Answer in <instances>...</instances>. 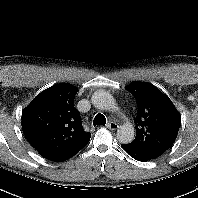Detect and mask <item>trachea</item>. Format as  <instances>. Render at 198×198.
Masks as SVG:
<instances>
[{
  "label": "trachea",
  "mask_w": 198,
  "mask_h": 198,
  "mask_svg": "<svg viewBox=\"0 0 198 198\" xmlns=\"http://www.w3.org/2000/svg\"><path fill=\"white\" fill-rule=\"evenodd\" d=\"M105 124H106L105 116L101 113H98L93 120V125L94 126H97V125H103L104 126Z\"/></svg>",
  "instance_id": "trachea-1"
}]
</instances>
